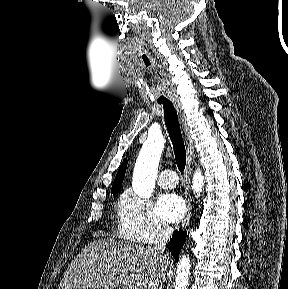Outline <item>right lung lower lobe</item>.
<instances>
[{
	"instance_id": "1",
	"label": "right lung lower lobe",
	"mask_w": 288,
	"mask_h": 289,
	"mask_svg": "<svg viewBox=\"0 0 288 289\" xmlns=\"http://www.w3.org/2000/svg\"><path fill=\"white\" fill-rule=\"evenodd\" d=\"M187 233L183 231H175L173 233V238L168 243V248L174 258L177 260L179 257V252L181 248L183 247L185 241H186Z\"/></svg>"
}]
</instances>
